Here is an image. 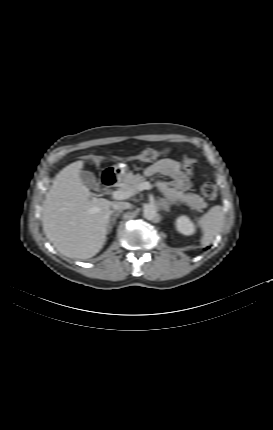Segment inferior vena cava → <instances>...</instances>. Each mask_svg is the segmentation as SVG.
<instances>
[{
	"instance_id": "inferior-vena-cava-1",
	"label": "inferior vena cava",
	"mask_w": 273,
	"mask_h": 430,
	"mask_svg": "<svg viewBox=\"0 0 273 430\" xmlns=\"http://www.w3.org/2000/svg\"><path fill=\"white\" fill-rule=\"evenodd\" d=\"M112 206L114 210H119V211L131 208L130 203L123 202V201L115 202Z\"/></svg>"
}]
</instances>
